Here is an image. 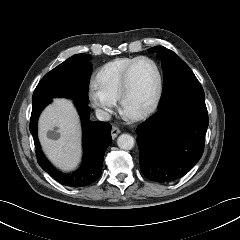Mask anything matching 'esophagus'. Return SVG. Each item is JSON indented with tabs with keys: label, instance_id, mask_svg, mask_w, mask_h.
Returning a JSON list of instances; mask_svg holds the SVG:
<instances>
[{
	"label": "esophagus",
	"instance_id": "esophagus-1",
	"mask_svg": "<svg viewBox=\"0 0 240 240\" xmlns=\"http://www.w3.org/2000/svg\"><path fill=\"white\" fill-rule=\"evenodd\" d=\"M119 133H120V130L117 127L113 126L111 129L112 138L115 139Z\"/></svg>",
	"mask_w": 240,
	"mask_h": 240
}]
</instances>
